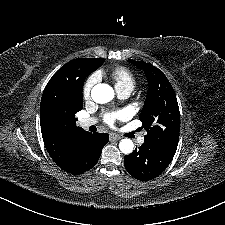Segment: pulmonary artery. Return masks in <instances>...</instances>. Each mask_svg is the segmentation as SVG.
<instances>
[{
  "label": "pulmonary artery",
  "mask_w": 225,
  "mask_h": 225,
  "mask_svg": "<svg viewBox=\"0 0 225 225\" xmlns=\"http://www.w3.org/2000/svg\"><path fill=\"white\" fill-rule=\"evenodd\" d=\"M130 93H131L130 91H119L118 95L121 99H126L129 97ZM95 123H96L95 118H84V119H81L78 124L82 128H88V127L94 125ZM144 142H145V137H144V135H141L138 138V143L143 144Z\"/></svg>",
  "instance_id": "e3ab8cb5"
}]
</instances>
